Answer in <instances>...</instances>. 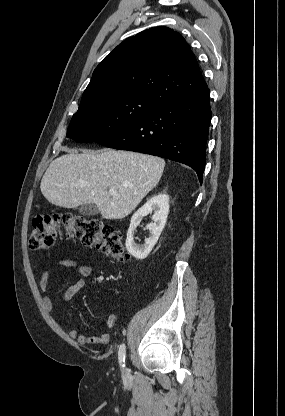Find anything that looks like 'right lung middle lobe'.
<instances>
[{
    "instance_id": "1",
    "label": "right lung middle lobe",
    "mask_w": 285,
    "mask_h": 416,
    "mask_svg": "<svg viewBox=\"0 0 285 416\" xmlns=\"http://www.w3.org/2000/svg\"><path fill=\"white\" fill-rule=\"evenodd\" d=\"M157 107L150 100L131 96L78 109L66 136L76 142H98L129 127Z\"/></svg>"
}]
</instances>
